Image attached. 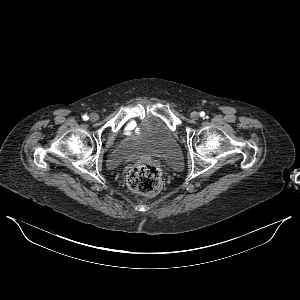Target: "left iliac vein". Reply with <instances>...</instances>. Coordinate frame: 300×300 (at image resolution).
<instances>
[{
    "instance_id": "4c4485c4",
    "label": "left iliac vein",
    "mask_w": 300,
    "mask_h": 300,
    "mask_svg": "<svg viewBox=\"0 0 300 300\" xmlns=\"http://www.w3.org/2000/svg\"><path fill=\"white\" fill-rule=\"evenodd\" d=\"M200 117L199 113L196 112V111H193L191 114H190V118L194 121L198 120Z\"/></svg>"
}]
</instances>
